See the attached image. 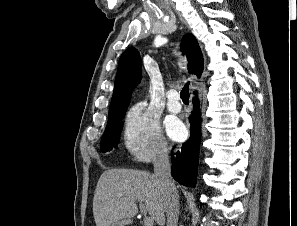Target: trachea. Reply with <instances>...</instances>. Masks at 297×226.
<instances>
[{
    "label": "trachea",
    "instance_id": "1",
    "mask_svg": "<svg viewBox=\"0 0 297 226\" xmlns=\"http://www.w3.org/2000/svg\"><path fill=\"white\" fill-rule=\"evenodd\" d=\"M181 98L184 103L189 102V83H186L183 89L181 90Z\"/></svg>",
    "mask_w": 297,
    "mask_h": 226
}]
</instances>
